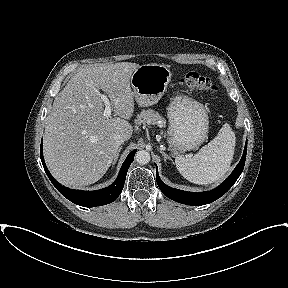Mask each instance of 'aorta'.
<instances>
[{
    "label": "aorta",
    "mask_w": 288,
    "mask_h": 288,
    "mask_svg": "<svg viewBox=\"0 0 288 288\" xmlns=\"http://www.w3.org/2000/svg\"><path fill=\"white\" fill-rule=\"evenodd\" d=\"M150 159H151L150 154L146 150H140L135 155V160L140 165H145V164L149 163Z\"/></svg>",
    "instance_id": "aorta-1"
}]
</instances>
